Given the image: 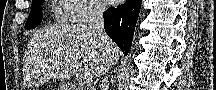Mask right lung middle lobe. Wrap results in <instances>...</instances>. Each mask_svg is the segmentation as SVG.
I'll return each instance as SVG.
<instances>
[{"mask_svg":"<svg viewBox=\"0 0 216 90\" xmlns=\"http://www.w3.org/2000/svg\"><path fill=\"white\" fill-rule=\"evenodd\" d=\"M43 3L44 0H32V9L25 24V29H33L41 22Z\"/></svg>","mask_w":216,"mask_h":90,"instance_id":"1","label":"right lung middle lobe"}]
</instances>
